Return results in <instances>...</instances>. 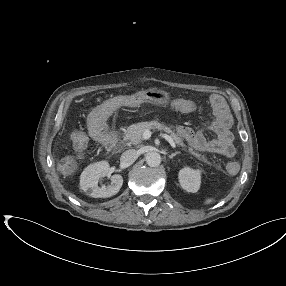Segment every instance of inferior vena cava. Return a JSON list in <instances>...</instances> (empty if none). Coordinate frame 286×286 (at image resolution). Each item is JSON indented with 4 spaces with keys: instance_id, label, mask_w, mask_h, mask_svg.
<instances>
[{
    "instance_id": "obj_1",
    "label": "inferior vena cava",
    "mask_w": 286,
    "mask_h": 286,
    "mask_svg": "<svg viewBox=\"0 0 286 286\" xmlns=\"http://www.w3.org/2000/svg\"><path fill=\"white\" fill-rule=\"evenodd\" d=\"M137 157H138V154L135 149L126 150L120 158L121 165L123 167H128L135 162Z\"/></svg>"
}]
</instances>
